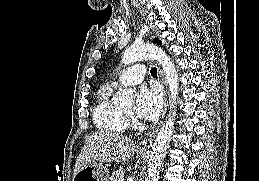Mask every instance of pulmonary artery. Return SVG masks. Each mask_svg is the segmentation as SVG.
<instances>
[{
    "label": "pulmonary artery",
    "mask_w": 259,
    "mask_h": 181,
    "mask_svg": "<svg viewBox=\"0 0 259 181\" xmlns=\"http://www.w3.org/2000/svg\"><path fill=\"white\" fill-rule=\"evenodd\" d=\"M145 68L141 64H137L128 68L119 78L114 82V85H134L139 84L143 80Z\"/></svg>",
    "instance_id": "1"
}]
</instances>
